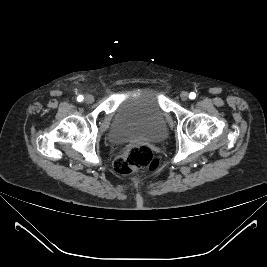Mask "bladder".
Masks as SVG:
<instances>
[{
	"instance_id": "obj_1",
	"label": "bladder",
	"mask_w": 267,
	"mask_h": 267,
	"mask_svg": "<svg viewBox=\"0 0 267 267\" xmlns=\"http://www.w3.org/2000/svg\"><path fill=\"white\" fill-rule=\"evenodd\" d=\"M166 133V114L159 92L151 86H141L124 93L107 136L112 142L122 143L132 139L158 141Z\"/></svg>"
}]
</instances>
